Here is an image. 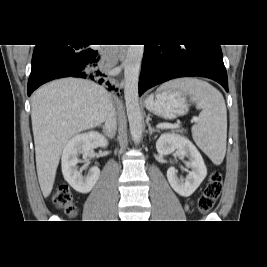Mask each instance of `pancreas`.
Returning a JSON list of instances; mask_svg holds the SVG:
<instances>
[{"instance_id":"1","label":"pancreas","mask_w":267,"mask_h":267,"mask_svg":"<svg viewBox=\"0 0 267 267\" xmlns=\"http://www.w3.org/2000/svg\"><path fill=\"white\" fill-rule=\"evenodd\" d=\"M179 132H183V130H179Z\"/></svg>"}]
</instances>
